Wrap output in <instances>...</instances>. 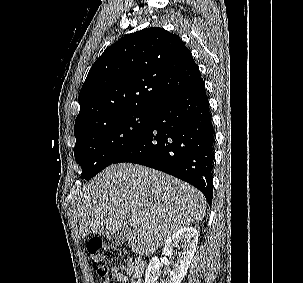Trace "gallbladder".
<instances>
[{
	"label": "gallbladder",
	"instance_id": "bac80fb5",
	"mask_svg": "<svg viewBox=\"0 0 303 283\" xmlns=\"http://www.w3.org/2000/svg\"><path fill=\"white\" fill-rule=\"evenodd\" d=\"M124 234L125 228L120 227L115 234L109 236V240L115 245H120L123 242Z\"/></svg>",
	"mask_w": 303,
	"mask_h": 283
}]
</instances>
